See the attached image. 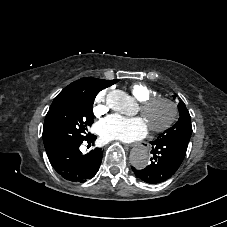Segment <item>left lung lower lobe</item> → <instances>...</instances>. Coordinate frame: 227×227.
Here are the masks:
<instances>
[{"instance_id": "left-lung-lower-lobe-1", "label": "left lung lower lobe", "mask_w": 227, "mask_h": 227, "mask_svg": "<svg viewBox=\"0 0 227 227\" xmlns=\"http://www.w3.org/2000/svg\"><path fill=\"white\" fill-rule=\"evenodd\" d=\"M152 145L151 164L142 170L132 167L135 175L145 182L156 184L170 178L182 163L188 143L174 139L157 138Z\"/></svg>"}]
</instances>
